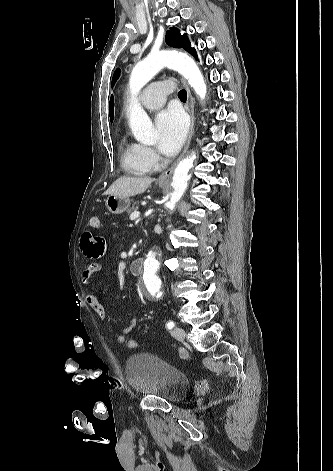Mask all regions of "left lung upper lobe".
<instances>
[{
  "mask_svg": "<svg viewBox=\"0 0 333 471\" xmlns=\"http://www.w3.org/2000/svg\"><path fill=\"white\" fill-rule=\"evenodd\" d=\"M166 43L171 47L183 48L187 50L189 53H191L193 56H196L194 49L190 47V42L187 36L181 35L179 30L175 27L171 28V30L166 33ZM119 73H120V70L117 69L112 79V85H114V83L116 82L119 76Z\"/></svg>",
  "mask_w": 333,
  "mask_h": 471,
  "instance_id": "left-lung-upper-lobe-1",
  "label": "left lung upper lobe"
}]
</instances>
